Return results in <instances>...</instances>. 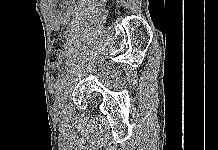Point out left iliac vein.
Instances as JSON below:
<instances>
[{"mask_svg":"<svg viewBox=\"0 0 218 150\" xmlns=\"http://www.w3.org/2000/svg\"><path fill=\"white\" fill-rule=\"evenodd\" d=\"M54 111L58 115L64 111L63 97H61V96L56 97V99L54 101Z\"/></svg>","mask_w":218,"mask_h":150,"instance_id":"left-iliac-vein-1","label":"left iliac vein"}]
</instances>
